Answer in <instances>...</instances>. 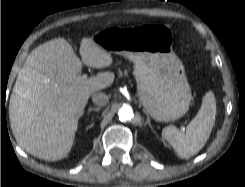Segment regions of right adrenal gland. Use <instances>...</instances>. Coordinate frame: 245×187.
I'll use <instances>...</instances> for the list:
<instances>
[{"mask_svg":"<svg viewBox=\"0 0 245 187\" xmlns=\"http://www.w3.org/2000/svg\"><path fill=\"white\" fill-rule=\"evenodd\" d=\"M100 109H101L100 107H97V108H92V107H90L89 110H88V113H91L92 111H94V112H99Z\"/></svg>","mask_w":245,"mask_h":187,"instance_id":"obj_1","label":"right adrenal gland"}]
</instances>
